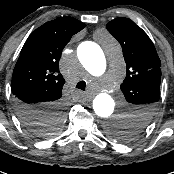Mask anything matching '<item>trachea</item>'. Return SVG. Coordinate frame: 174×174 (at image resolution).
Here are the masks:
<instances>
[{"label": "trachea", "mask_w": 174, "mask_h": 174, "mask_svg": "<svg viewBox=\"0 0 174 174\" xmlns=\"http://www.w3.org/2000/svg\"><path fill=\"white\" fill-rule=\"evenodd\" d=\"M85 87H86V83H85V81H80V82H78V84L76 85V88H78V89H81V90H85Z\"/></svg>", "instance_id": "3493384b"}]
</instances>
